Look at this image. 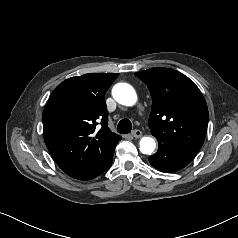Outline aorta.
Listing matches in <instances>:
<instances>
[{"mask_svg":"<svg viewBox=\"0 0 238 238\" xmlns=\"http://www.w3.org/2000/svg\"><path fill=\"white\" fill-rule=\"evenodd\" d=\"M112 95L119 104L125 106H133L137 102L136 91L127 83H117L114 85ZM139 146L143 154L151 155L156 148V142L152 137H142Z\"/></svg>","mask_w":238,"mask_h":238,"instance_id":"1","label":"aorta"}]
</instances>
